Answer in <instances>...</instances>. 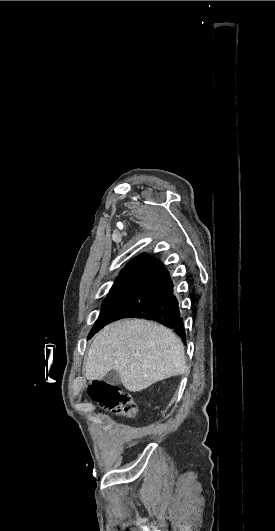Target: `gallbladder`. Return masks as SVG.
<instances>
[{
	"label": "gallbladder",
	"instance_id": "1",
	"mask_svg": "<svg viewBox=\"0 0 275 531\" xmlns=\"http://www.w3.org/2000/svg\"><path fill=\"white\" fill-rule=\"evenodd\" d=\"M105 381L108 383V385H114V387L115 385H120L121 383L119 373H116V371H111V373H108V375L105 377Z\"/></svg>",
	"mask_w": 275,
	"mask_h": 531
}]
</instances>
